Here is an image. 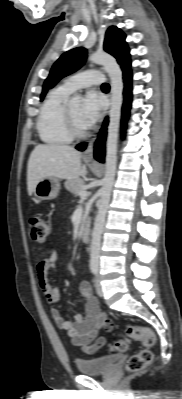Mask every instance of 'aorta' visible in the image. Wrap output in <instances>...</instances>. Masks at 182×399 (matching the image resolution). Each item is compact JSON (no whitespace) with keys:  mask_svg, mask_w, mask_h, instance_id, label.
Returning a JSON list of instances; mask_svg holds the SVG:
<instances>
[{"mask_svg":"<svg viewBox=\"0 0 182 399\" xmlns=\"http://www.w3.org/2000/svg\"><path fill=\"white\" fill-rule=\"evenodd\" d=\"M89 60L92 63L103 65L111 80L109 125L106 142L105 176L103 179V186L100 190L101 197L99 200L98 212L94 222L90 245V265L98 267L101 236L116 172L118 133L124 86L122 71L113 56L105 52H95L89 56ZM80 102L81 96L78 94H75L70 100L71 105H78Z\"/></svg>","mask_w":182,"mask_h":399,"instance_id":"obj_1","label":"aorta"}]
</instances>
